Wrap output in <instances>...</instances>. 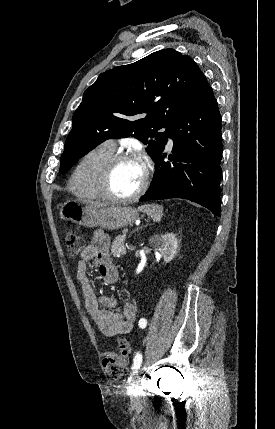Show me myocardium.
<instances>
[{
  "mask_svg": "<svg viewBox=\"0 0 275 429\" xmlns=\"http://www.w3.org/2000/svg\"><path fill=\"white\" fill-rule=\"evenodd\" d=\"M127 160H139V156L132 152H119L110 156L102 165L97 179V189L100 196L108 201L128 203L138 199L146 190L149 181V167L144 165V176L139 188L129 196H117L110 189V179L117 164Z\"/></svg>",
  "mask_w": 275,
  "mask_h": 429,
  "instance_id": "myocardium-1",
  "label": "myocardium"
}]
</instances>
